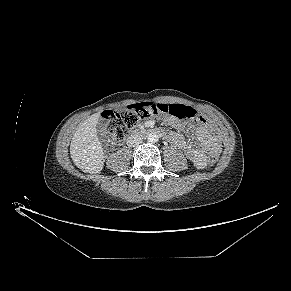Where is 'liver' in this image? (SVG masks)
Returning <instances> with one entry per match:
<instances>
[{"label": "liver", "instance_id": "obj_1", "mask_svg": "<svg viewBox=\"0 0 291 291\" xmlns=\"http://www.w3.org/2000/svg\"><path fill=\"white\" fill-rule=\"evenodd\" d=\"M99 113L91 115L75 132L70 154L74 164L86 173H99L104 165V152L97 133Z\"/></svg>", "mask_w": 291, "mask_h": 291}]
</instances>
